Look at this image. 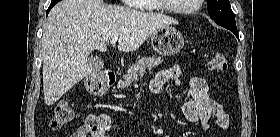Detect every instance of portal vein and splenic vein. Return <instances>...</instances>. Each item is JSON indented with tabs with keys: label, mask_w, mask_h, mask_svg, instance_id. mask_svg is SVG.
Returning a JSON list of instances; mask_svg holds the SVG:
<instances>
[{
	"label": "portal vein and splenic vein",
	"mask_w": 280,
	"mask_h": 137,
	"mask_svg": "<svg viewBox=\"0 0 280 137\" xmlns=\"http://www.w3.org/2000/svg\"><path fill=\"white\" fill-rule=\"evenodd\" d=\"M118 40V36H113L111 39H110V44H115L116 41Z\"/></svg>",
	"instance_id": "18ae733b"
}]
</instances>
